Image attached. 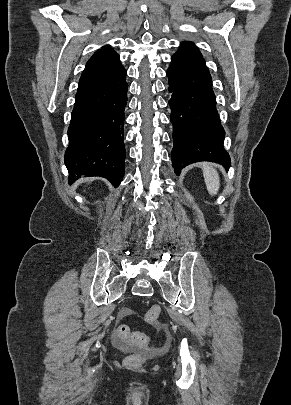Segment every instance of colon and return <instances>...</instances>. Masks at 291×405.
Returning a JSON list of instances; mask_svg holds the SVG:
<instances>
[{
	"label": "colon",
	"instance_id": "colon-1",
	"mask_svg": "<svg viewBox=\"0 0 291 405\" xmlns=\"http://www.w3.org/2000/svg\"><path fill=\"white\" fill-rule=\"evenodd\" d=\"M161 314V308L158 305L152 306L145 314V321L149 324H155ZM114 337L126 344L136 345L146 348L149 345V339L146 335L138 332H132L127 325H119L115 330ZM144 362L140 354L129 355L126 359L128 366L136 367Z\"/></svg>",
	"mask_w": 291,
	"mask_h": 405
}]
</instances>
